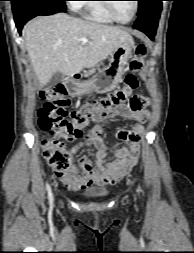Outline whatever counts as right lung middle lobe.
Wrapping results in <instances>:
<instances>
[{
  "label": "right lung middle lobe",
  "instance_id": "dd1d6c3e",
  "mask_svg": "<svg viewBox=\"0 0 194 253\" xmlns=\"http://www.w3.org/2000/svg\"><path fill=\"white\" fill-rule=\"evenodd\" d=\"M12 3V9L15 10L20 4L26 3V2H38V1H55L58 4L66 7L65 1L67 0H10Z\"/></svg>",
  "mask_w": 194,
  "mask_h": 253
}]
</instances>
